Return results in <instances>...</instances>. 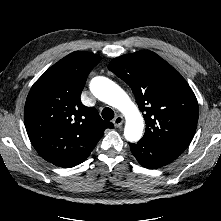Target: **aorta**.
<instances>
[{
  "label": "aorta",
  "instance_id": "762f6f07",
  "mask_svg": "<svg viewBox=\"0 0 221 221\" xmlns=\"http://www.w3.org/2000/svg\"><path fill=\"white\" fill-rule=\"evenodd\" d=\"M92 94L99 100L119 110L126 119L124 136L129 142L138 141L143 134L144 119L137 105L126 92L112 80L97 76L90 82Z\"/></svg>",
  "mask_w": 221,
  "mask_h": 221
}]
</instances>
